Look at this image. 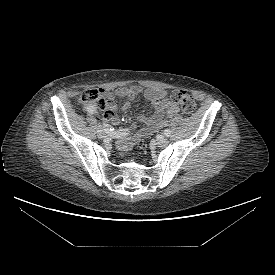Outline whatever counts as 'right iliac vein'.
Wrapping results in <instances>:
<instances>
[{"mask_svg": "<svg viewBox=\"0 0 275 275\" xmlns=\"http://www.w3.org/2000/svg\"><path fill=\"white\" fill-rule=\"evenodd\" d=\"M97 135L99 138H104L106 135L105 130L103 129V127L100 123L98 124Z\"/></svg>", "mask_w": 275, "mask_h": 275, "instance_id": "1", "label": "right iliac vein"}]
</instances>
